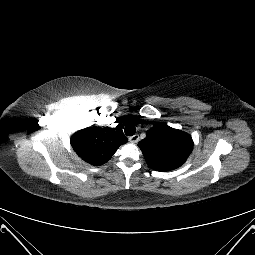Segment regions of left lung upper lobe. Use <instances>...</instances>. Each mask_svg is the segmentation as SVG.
<instances>
[{
  "label": "left lung upper lobe",
  "mask_w": 255,
  "mask_h": 255,
  "mask_svg": "<svg viewBox=\"0 0 255 255\" xmlns=\"http://www.w3.org/2000/svg\"><path fill=\"white\" fill-rule=\"evenodd\" d=\"M147 164L156 171H169L180 167L193 149L189 134L157 123L138 143Z\"/></svg>",
  "instance_id": "obj_1"
}]
</instances>
